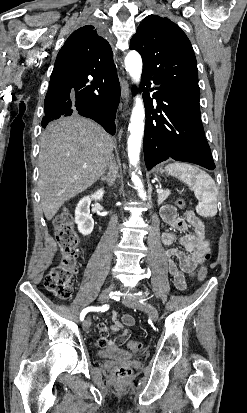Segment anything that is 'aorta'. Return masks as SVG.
I'll list each match as a JSON object with an SVG mask.
<instances>
[{"label":"aorta","mask_w":247,"mask_h":413,"mask_svg":"<svg viewBox=\"0 0 247 413\" xmlns=\"http://www.w3.org/2000/svg\"><path fill=\"white\" fill-rule=\"evenodd\" d=\"M142 58L140 54L136 51H130L125 57V68L130 74L133 82L137 84L140 81L142 73ZM144 120H145V109L142 97L138 94L135 98L130 123L128 127L129 138H128V158L131 165L137 167L140 158L141 142L144 134ZM132 182L135 185L139 196L145 200L146 192L143 189L142 181L139 176L133 172Z\"/></svg>","instance_id":"aorta-1"}]
</instances>
